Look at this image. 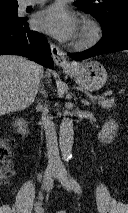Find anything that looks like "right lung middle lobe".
Returning a JSON list of instances; mask_svg holds the SVG:
<instances>
[{"instance_id":"obj_1","label":"right lung middle lobe","mask_w":128,"mask_h":213,"mask_svg":"<svg viewBox=\"0 0 128 213\" xmlns=\"http://www.w3.org/2000/svg\"><path fill=\"white\" fill-rule=\"evenodd\" d=\"M18 5L0 7V18L19 20L22 19L17 15Z\"/></svg>"}]
</instances>
